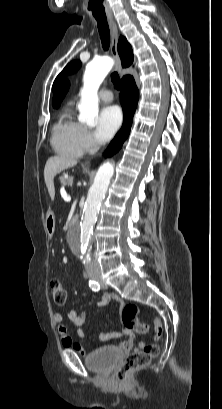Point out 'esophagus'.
<instances>
[{
	"label": "esophagus",
	"mask_w": 222,
	"mask_h": 409,
	"mask_svg": "<svg viewBox=\"0 0 222 409\" xmlns=\"http://www.w3.org/2000/svg\"><path fill=\"white\" fill-rule=\"evenodd\" d=\"M110 29H111V54L116 62V69L120 73L122 71L121 60L117 50V44L119 39L117 25L114 21L109 22ZM86 165H90V160L86 161Z\"/></svg>",
	"instance_id": "esophagus-1"
}]
</instances>
